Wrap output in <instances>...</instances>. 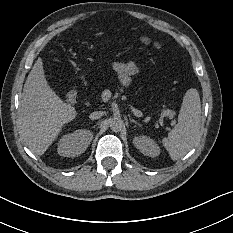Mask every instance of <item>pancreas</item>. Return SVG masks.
I'll return each instance as SVG.
<instances>
[{"mask_svg": "<svg viewBox=\"0 0 233 233\" xmlns=\"http://www.w3.org/2000/svg\"><path fill=\"white\" fill-rule=\"evenodd\" d=\"M160 116L163 117L164 115H169L170 118H175L176 117V112L173 110H167V111H163V112H159Z\"/></svg>", "mask_w": 233, "mask_h": 233, "instance_id": "obj_1", "label": "pancreas"}]
</instances>
